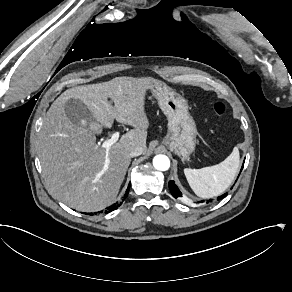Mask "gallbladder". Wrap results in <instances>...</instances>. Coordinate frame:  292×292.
I'll return each instance as SVG.
<instances>
[{
  "label": "gallbladder",
  "instance_id": "obj_1",
  "mask_svg": "<svg viewBox=\"0 0 292 292\" xmlns=\"http://www.w3.org/2000/svg\"><path fill=\"white\" fill-rule=\"evenodd\" d=\"M64 111L73 124L84 128L96 121L92 112L80 99H68L64 104Z\"/></svg>",
  "mask_w": 292,
  "mask_h": 292
}]
</instances>
